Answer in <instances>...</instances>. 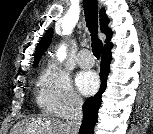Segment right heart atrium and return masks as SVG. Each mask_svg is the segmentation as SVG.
Here are the masks:
<instances>
[{
  "label": "right heart atrium",
  "instance_id": "1",
  "mask_svg": "<svg viewBox=\"0 0 153 134\" xmlns=\"http://www.w3.org/2000/svg\"><path fill=\"white\" fill-rule=\"evenodd\" d=\"M83 100L70 77L58 66L47 65L38 81L37 104L46 113L64 117L80 110Z\"/></svg>",
  "mask_w": 153,
  "mask_h": 134
}]
</instances>
